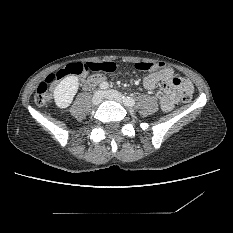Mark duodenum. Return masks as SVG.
Listing matches in <instances>:
<instances>
[{"mask_svg":"<svg viewBox=\"0 0 233 233\" xmlns=\"http://www.w3.org/2000/svg\"><path fill=\"white\" fill-rule=\"evenodd\" d=\"M105 80V78L102 75H94L88 78L84 82V88L89 89L92 88L100 83H102Z\"/></svg>","mask_w":233,"mask_h":233,"instance_id":"410a0bca","label":"duodenum"}]
</instances>
